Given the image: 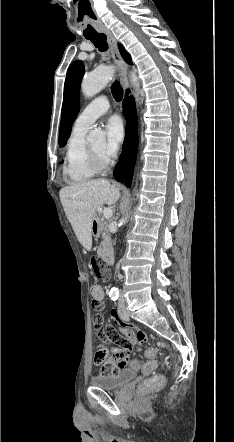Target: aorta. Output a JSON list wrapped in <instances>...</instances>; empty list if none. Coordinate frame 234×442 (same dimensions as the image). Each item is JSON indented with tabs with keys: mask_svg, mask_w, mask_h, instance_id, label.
<instances>
[{
	"mask_svg": "<svg viewBox=\"0 0 234 442\" xmlns=\"http://www.w3.org/2000/svg\"><path fill=\"white\" fill-rule=\"evenodd\" d=\"M115 72V68L112 66H107L103 68H98L91 73H88L84 76L81 83V90L85 97H93L97 93H99L112 79ZM131 81L132 84L136 87L139 86L138 78L134 73H131ZM103 133L99 130L92 131L88 140L90 142L95 141L97 138H101ZM129 215L127 214L125 218L122 219L123 222H126ZM114 291H117L116 288H113Z\"/></svg>",
	"mask_w": 234,
	"mask_h": 442,
	"instance_id": "1",
	"label": "aorta"
}]
</instances>
